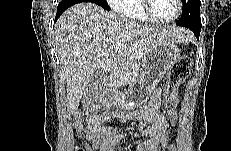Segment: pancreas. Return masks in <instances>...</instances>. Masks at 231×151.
Listing matches in <instances>:
<instances>
[{
    "mask_svg": "<svg viewBox=\"0 0 231 151\" xmlns=\"http://www.w3.org/2000/svg\"><path fill=\"white\" fill-rule=\"evenodd\" d=\"M139 65L129 64L125 68H121L120 72L113 75L109 81V86L121 87L123 85L134 82L138 76Z\"/></svg>",
    "mask_w": 231,
    "mask_h": 151,
    "instance_id": "pancreas-1",
    "label": "pancreas"
}]
</instances>
